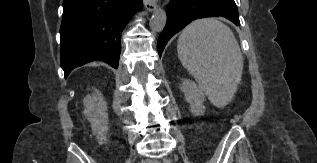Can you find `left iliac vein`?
Returning a JSON list of instances; mask_svg holds the SVG:
<instances>
[{
	"instance_id": "1",
	"label": "left iliac vein",
	"mask_w": 317,
	"mask_h": 163,
	"mask_svg": "<svg viewBox=\"0 0 317 163\" xmlns=\"http://www.w3.org/2000/svg\"><path fill=\"white\" fill-rule=\"evenodd\" d=\"M154 163H160L159 161H155ZM163 163H170V160H164Z\"/></svg>"
}]
</instances>
